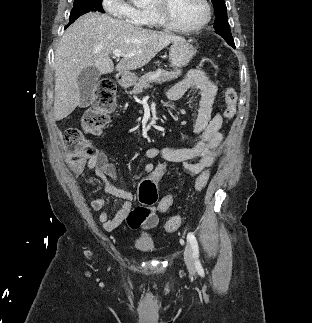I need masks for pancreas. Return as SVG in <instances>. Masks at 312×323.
<instances>
[{"label":"pancreas","instance_id":"1","mask_svg":"<svg viewBox=\"0 0 312 323\" xmlns=\"http://www.w3.org/2000/svg\"><path fill=\"white\" fill-rule=\"evenodd\" d=\"M181 74L182 70H174V72H165V70H161V72H147V74H144L139 82L135 84L132 94H140V92H143L146 88H152L151 84H153V82H156V84H163V82L176 80Z\"/></svg>","mask_w":312,"mask_h":323}]
</instances>
